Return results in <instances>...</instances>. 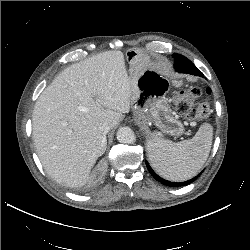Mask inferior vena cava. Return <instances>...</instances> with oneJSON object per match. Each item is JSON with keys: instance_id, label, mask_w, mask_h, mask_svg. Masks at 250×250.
<instances>
[{"instance_id": "602c4592", "label": "inferior vena cava", "mask_w": 250, "mask_h": 250, "mask_svg": "<svg viewBox=\"0 0 250 250\" xmlns=\"http://www.w3.org/2000/svg\"><path fill=\"white\" fill-rule=\"evenodd\" d=\"M99 129L104 133H108L111 129V126L108 122H103L100 124Z\"/></svg>"}]
</instances>
